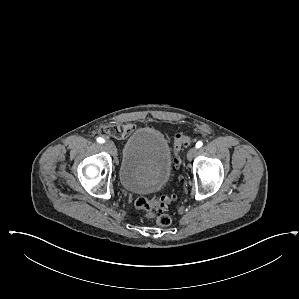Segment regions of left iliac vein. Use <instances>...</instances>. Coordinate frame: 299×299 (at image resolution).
I'll use <instances>...</instances> for the list:
<instances>
[{
    "mask_svg": "<svg viewBox=\"0 0 299 299\" xmlns=\"http://www.w3.org/2000/svg\"><path fill=\"white\" fill-rule=\"evenodd\" d=\"M196 153H197V148L196 147L190 148L187 152V159L189 161H191L194 158V156L196 155Z\"/></svg>",
    "mask_w": 299,
    "mask_h": 299,
    "instance_id": "1",
    "label": "left iliac vein"
}]
</instances>
